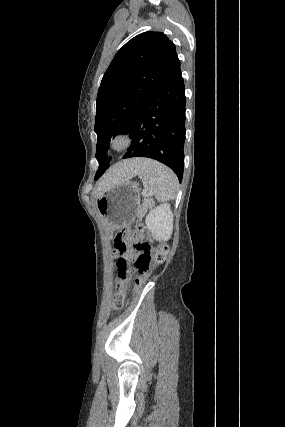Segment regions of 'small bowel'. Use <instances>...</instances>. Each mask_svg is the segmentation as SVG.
<instances>
[{"label":"small bowel","instance_id":"obj_1","mask_svg":"<svg viewBox=\"0 0 285 427\" xmlns=\"http://www.w3.org/2000/svg\"><path fill=\"white\" fill-rule=\"evenodd\" d=\"M127 258V256L126 255H122L120 258H119V260H123V259H126Z\"/></svg>","mask_w":285,"mask_h":427}]
</instances>
